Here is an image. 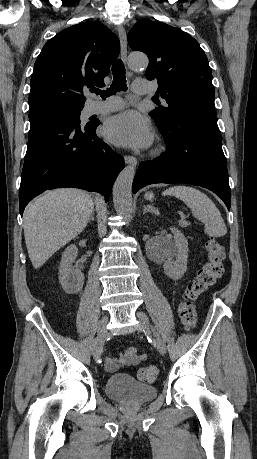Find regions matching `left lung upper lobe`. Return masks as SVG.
Returning <instances> with one entry per match:
<instances>
[{
  "label": "left lung upper lobe",
  "mask_w": 257,
  "mask_h": 459,
  "mask_svg": "<svg viewBox=\"0 0 257 459\" xmlns=\"http://www.w3.org/2000/svg\"><path fill=\"white\" fill-rule=\"evenodd\" d=\"M129 46L149 58L146 78L159 84L168 107L150 112L158 125L188 109H214L215 90L208 59L188 33L165 23L139 20L128 34Z\"/></svg>",
  "instance_id": "1"
}]
</instances>
